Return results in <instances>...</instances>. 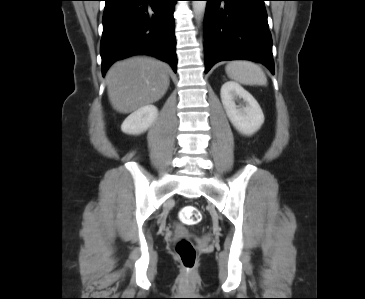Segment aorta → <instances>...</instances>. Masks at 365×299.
Listing matches in <instances>:
<instances>
[{"label":"aorta","instance_id":"obj_1","mask_svg":"<svg viewBox=\"0 0 365 299\" xmlns=\"http://www.w3.org/2000/svg\"><path fill=\"white\" fill-rule=\"evenodd\" d=\"M206 1H193L192 6L197 18H201L205 12Z\"/></svg>","mask_w":365,"mask_h":299}]
</instances>
